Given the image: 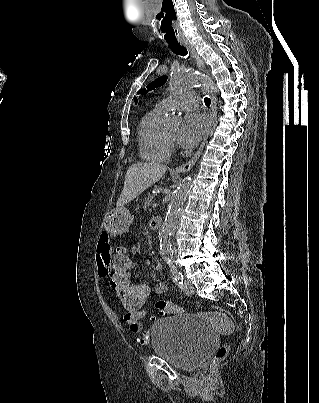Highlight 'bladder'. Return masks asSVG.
Segmentation results:
<instances>
[{"label":"bladder","mask_w":319,"mask_h":403,"mask_svg":"<svg viewBox=\"0 0 319 403\" xmlns=\"http://www.w3.org/2000/svg\"><path fill=\"white\" fill-rule=\"evenodd\" d=\"M215 332L200 316L160 317L151 328V348L181 370L198 367L218 344Z\"/></svg>","instance_id":"obj_1"}]
</instances>
